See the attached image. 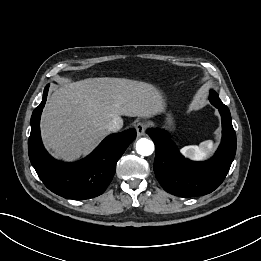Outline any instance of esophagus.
Wrapping results in <instances>:
<instances>
[{
    "label": "esophagus",
    "instance_id": "esophagus-1",
    "mask_svg": "<svg viewBox=\"0 0 261 261\" xmlns=\"http://www.w3.org/2000/svg\"><path fill=\"white\" fill-rule=\"evenodd\" d=\"M146 128H147V125L146 123L144 122H138L136 125H135V129L137 131V135L138 136H142L145 134V131H146Z\"/></svg>",
    "mask_w": 261,
    "mask_h": 261
}]
</instances>
